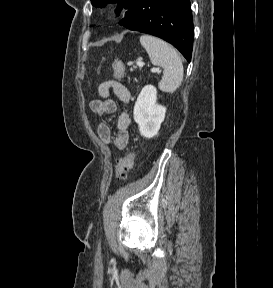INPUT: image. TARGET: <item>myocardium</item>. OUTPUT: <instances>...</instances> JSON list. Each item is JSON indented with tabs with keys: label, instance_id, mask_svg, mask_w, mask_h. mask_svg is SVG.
<instances>
[{
	"label": "myocardium",
	"instance_id": "1",
	"mask_svg": "<svg viewBox=\"0 0 273 288\" xmlns=\"http://www.w3.org/2000/svg\"><path fill=\"white\" fill-rule=\"evenodd\" d=\"M121 9H122V5L119 2H112L107 7V11L111 14H116Z\"/></svg>",
	"mask_w": 273,
	"mask_h": 288
}]
</instances>
